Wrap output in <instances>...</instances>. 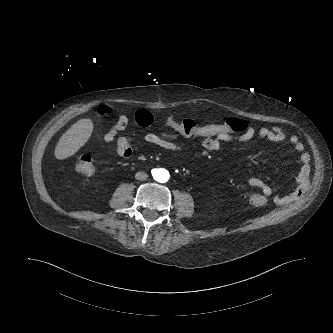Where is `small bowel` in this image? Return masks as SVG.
Instances as JSON below:
<instances>
[{
	"label": "small bowel",
	"mask_w": 333,
	"mask_h": 333,
	"mask_svg": "<svg viewBox=\"0 0 333 333\" xmlns=\"http://www.w3.org/2000/svg\"><path fill=\"white\" fill-rule=\"evenodd\" d=\"M134 118L138 124H141V126L145 128L152 126L154 122V115L149 110H138L135 113ZM127 124L128 120L126 116L122 115L119 117L113 128H111L108 132H103L99 136V141L103 145H109L115 138H117L116 151L120 156L125 158L130 157L133 153V147L130 143V139L132 138V131L130 129H126ZM120 132L121 135L118 136ZM256 135L261 139H268L276 142H283L287 139L283 128L278 125L261 127L258 130H256L254 127L247 126L246 131L243 133L233 132L229 135L222 136H202L201 147L207 151H217L220 149L223 143L247 142ZM183 137L189 136H185L179 131H159L146 133L143 139L146 143L155 145L159 148L171 152H180L185 149L184 144L180 142ZM289 142L294 147L295 151L299 154L300 176L293 191L286 194L277 195L275 197V202L277 204L291 203L300 198V196L303 194L310 170V155L304 151V144L295 135L289 138ZM247 184L252 188L258 189L264 196H272L274 194L273 187L258 177H250L247 180Z\"/></svg>",
	"instance_id": "small-bowel-1"
}]
</instances>
